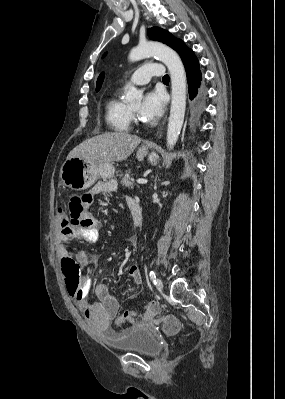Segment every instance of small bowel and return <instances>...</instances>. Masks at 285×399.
Masks as SVG:
<instances>
[{
    "label": "small bowel",
    "mask_w": 285,
    "mask_h": 399,
    "mask_svg": "<svg viewBox=\"0 0 285 399\" xmlns=\"http://www.w3.org/2000/svg\"><path fill=\"white\" fill-rule=\"evenodd\" d=\"M101 192L100 187H95L90 191L91 195H95ZM127 206L131 211V208L135 205L140 206L139 202L131 197H125ZM85 211L87 213V217L90 219V225L85 230H76L72 228L68 223L63 224L61 221L60 230H59V240L60 241H67L74 237H81L82 239L88 242H96L99 234V230L101 227L100 222L92 217L89 212V205L85 207ZM59 218L62 219L61 209L60 206L57 209ZM60 257L66 258L71 257L72 254L68 249L61 248L59 252ZM77 259L79 260L80 264L86 268L88 266V254L84 251H80L77 254ZM129 278L133 281V283L137 286H141L143 284V277L138 268V266L133 265L130 267L128 271ZM91 282L89 277H85L80 284L79 290L81 288V297L77 299L76 295L78 293L75 292L74 295L70 294V297L76 301V304L80 311L83 314L85 320L97 330H105L107 329L113 320L117 317L118 310H119V303L116 297L110 292L108 286L103 282H97L94 286L95 295L98 299V303L89 304L86 301L87 292L90 290ZM146 320H142L140 324H143Z\"/></svg>",
    "instance_id": "obj_1"
}]
</instances>
